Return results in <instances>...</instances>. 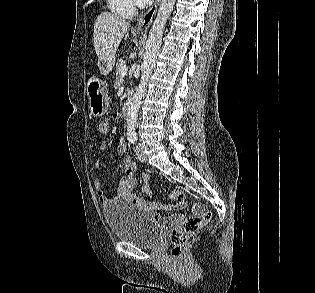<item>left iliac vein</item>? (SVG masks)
Segmentation results:
<instances>
[{
  "mask_svg": "<svg viewBox=\"0 0 315 293\" xmlns=\"http://www.w3.org/2000/svg\"><path fill=\"white\" fill-rule=\"evenodd\" d=\"M135 152H136V156L137 158L141 161V162H145V154H144V146L142 143H138L135 146Z\"/></svg>",
  "mask_w": 315,
  "mask_h": 293,
  "instance_id": "obj_1",
  "label": "left iliac vein"
}]
</instances>
